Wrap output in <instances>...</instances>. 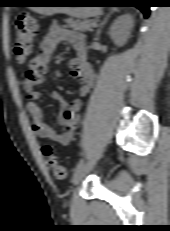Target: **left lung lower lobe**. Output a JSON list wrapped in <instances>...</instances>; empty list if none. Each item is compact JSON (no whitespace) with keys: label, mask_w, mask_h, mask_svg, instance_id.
Listing matches in <instances>:
<instances>
[{"label":"left lung lower lobe","mask_w":170,"mask_h":231,"mask_svg":"<svg viewBox=\"0 0 170 231\" xmlns=\"http://www.w3.org/2000/svg\"><path fill=\"white\" fill-rule=\"evenodd\" d=\"M100 3L106 6L118 7H137L140 9L145 18L149 16L150 0H99Z\"/></svg>","instance_id":"obj_1"}]
</instances>
